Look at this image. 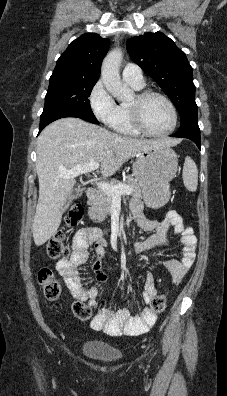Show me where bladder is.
<instances>
[{
	"instance_id": "1",
	"label": "bladder",
	"mask_w": 227,
	"mask_h": 396,
	"mask_svg": "<svg viewBox=\"0 0 227 396\" xmlns=\"http://www.w3.org/2000/svg\"><path fill=\"white\" fill-rule=\"evenodd\" d=\"M81 353L88 359L104 364L117 363L122 359V353L112 346L102 342H86L81 346Z\"/></svg>"
}]
</instances>
